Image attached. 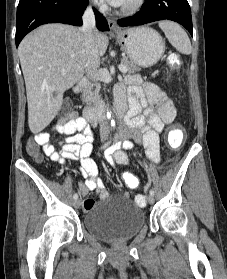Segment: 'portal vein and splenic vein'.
Here are the masks:
<instances>
[{"mask_svg": "<svg viewBox=\"0 0 227 279\" xmlns=\"http://www.w3.org/2000/svg\"><path fill=\"white\" fill-rule=\"evenodd\" d=\"M119 70L122 72V73H126L127 69L125 66H122V65H119L118 66ZM65 71L63 70L62 73H64Z\"/></svg>", "mask_w": 227, "mask_h": 279, "instance_id": "1", "label": "portal vein and splenic vein"}]
</instances>
